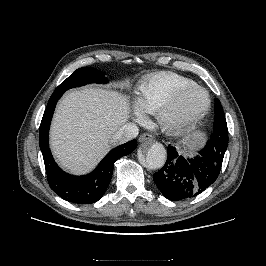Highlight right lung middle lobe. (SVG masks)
Returning <instances> with one entry per match:
<instances>
[{
    "label": "right lung middle lobe",
    "instance_id": "1",
    "mask_svg": "<svg viewBox=\"0 0 266 266\" xmlns=\"http://www.w3.org/2000/svg\"><path fill=\"white\" fill-rule=\"evenodd\" d=\"M108 79L104 74L94 68L82 67L74 71L64 80L56 90L66 91L73 87L83 86L89 83H107Z\"/></svg>",
    "mask_w": 266,
    "mask_h": 266
}]
</instances>
